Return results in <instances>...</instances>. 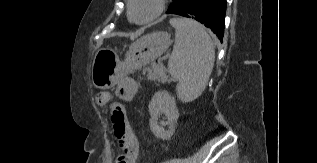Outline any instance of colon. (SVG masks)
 I'll return each instance as SVG.
<instances>
[{"instance_id":"5ec220e1","label":"colon","mask_w":317,"mask_h":163,"mask_svg":"<svg viewBox=\"0 0 317 163\" xmlns=\"http://www.w3.org/2000/svg\"><path fill=\"white\" fill-rule=\"evenodd\" d=\"M96 102L99 106L109 105L110 111V121L112 123L113 129L117 133H123L126 128L127 120L124 108L118 103H111V96L108 92L102 91L97 93Z\"/></svg>"}]
</instances>
